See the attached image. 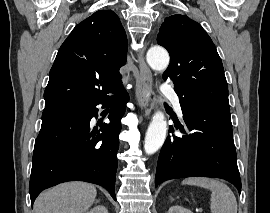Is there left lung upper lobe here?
<instances>
[{"mask_svg":"<svg viewBox=\"0 0 270 213\" xmlns=\"http://www.w3.org/2000/svg\"><path fill=\"white\" fill-rule=\"evenodd\" d=\"M157 42L170 54L163 79L174 83L181 101L230 110L222 61L200 24L186 15L166 17Z\"/></svg>","mask_w":270,"mask_h":213,"instance_id":"5c2ea615","label":"left lung upper lobe"}]
</instances>
